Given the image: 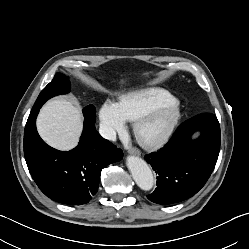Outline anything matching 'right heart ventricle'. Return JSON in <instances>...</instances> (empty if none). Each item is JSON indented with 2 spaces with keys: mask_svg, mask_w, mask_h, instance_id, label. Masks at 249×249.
Returning a JSON list of instances; mask_svg holds the SVG:
<instances>
[{
  "mask_svg": "<svg viewBox=\"0 0 249 249\" xmlns=\"http://www.w3.org/2000/svg\"><path fill=\"white\" fill-rule=\"evenodd\" d=\"M172 99L174 96L165 89L145 88L124 95L118 105L124 117L133 121L148 109Z\"/></svg>",
  "mask_w": 249,
  "mask_h": 249,
  "instance_id": "1",
  "label": "right heart ventricle"
}]
</instances>
